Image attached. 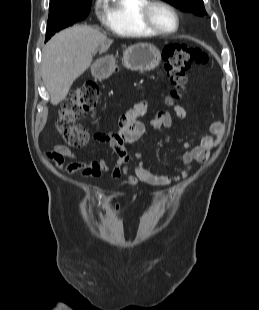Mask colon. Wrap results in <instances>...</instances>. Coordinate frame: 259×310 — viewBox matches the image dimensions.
<instances>
[{"instance_id":"1","label":"colon","mask_w":259,"mask_h":310,"mask_svg":"<svg viewBox=\"0 0 259 310\" xmlns=\"http://www.w3.org/2000/svg\"><path fill=\"white\" fill-rule=\"evenodd\" d=\"M162 56L164 69L173 85L168 101L174 103L180 100L184 91L186 72L193 65L205 63L207 56L201 49L186 44L168 45L163 49ZM99 95L98 86L89 83L73 90L63 102L56 127L68 146L80 147L87 143V132L77 120L96 108Z\"/></svg>"}]
</instances>
